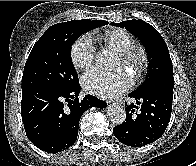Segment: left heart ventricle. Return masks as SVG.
Segmentation results:
<instances>
[{"label": "left heart ventricle", "instance_id": "b2bd125f", "mask_svg": "<svg viewBox=\"0 0 196 166\" xmlns=\"http://www.w3.org/2000/svg\"><path fill=\"white\" fill-rule=\"evenodd\" d=\"M118 64H119V65L121 64V61H120V59H118Z\"/></svg>", "mask_w": 196, "mask_h": 166}]
</instances>
